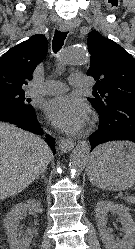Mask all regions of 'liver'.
I'll use <instances>...</instances> for the list:
<instances>
[{"label":"liver","mask_w":135,"mask_h":249,"mask_svg":"<svg viewBox=\"0 0 135 249\" xmlns=\"http://www.w3.org/2000/svg\"><path fill=\"white\" fill-rule=\"evenodd\" d=\"M52 158L41 138L0 122V200L23 191L46 170Z\"/></svg>","instance_id":"1"}]
</instances>
